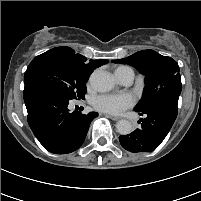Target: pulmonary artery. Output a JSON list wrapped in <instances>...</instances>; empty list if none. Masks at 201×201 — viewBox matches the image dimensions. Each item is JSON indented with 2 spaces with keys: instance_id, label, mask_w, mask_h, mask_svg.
Here are the masks:
<instances>
[{
  "instance_id": "obj_1",
  "label": "pulmonary artery",
  "mask_w": 201,
  "mask_h": 201,
  "mask_svg": "<svg viewBox=\"0 0 201 201\" xmlns=\"http://www.w3.org/2000/svg\"><path fill=\"white\" fill-rule=\"evenodd\" d=\"M116 77L121 83L128 85L133 81L134 73L132 71H127L124 72L123 74L116 75Z\"/></svg>"
}]
</instances>
